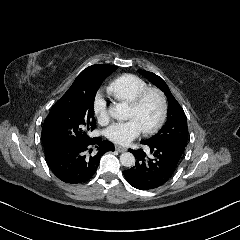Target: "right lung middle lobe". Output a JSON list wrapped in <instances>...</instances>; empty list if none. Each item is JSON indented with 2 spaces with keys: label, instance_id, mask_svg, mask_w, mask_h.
<instances>
[{
  "label": "right lung middle lobe",
  "instance_id": "1",
  "mask_svg": "<svg viewBox=\"0 0 240 240\" xmlns=\"http://www.w3.org/2000/svg\"><path fill=\"white\" fill-rule=\"evenodd\" d=\"M110 73L79 74L68 91L53 105L42 129L43 145L54 142H85L96 126L94 98Z\"/></svg>",
  "mask_w": 240,
  "mask_h": 240
}]
</instances>
